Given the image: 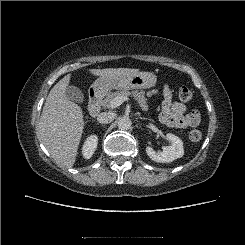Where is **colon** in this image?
<instances>
[{
    "instance_id": "obj_1",
    "label": "colon",
    "mask_w": 245,
    "mask_h": 245,
    "mask_svg": "<svg viewBox=\"0 0 245 245\" xmlns=\"http://www.w3.org/2000/svg\"><path fill=\"white\" fill-rule=\"evenodd\" d=\"M178 97L182 102H188L192 98V91L188 87H180ZM189 138L193 142H197L202 138V133L198 129H193L189 133Z\"/></svg>"
}]
</instances>
